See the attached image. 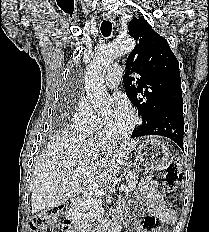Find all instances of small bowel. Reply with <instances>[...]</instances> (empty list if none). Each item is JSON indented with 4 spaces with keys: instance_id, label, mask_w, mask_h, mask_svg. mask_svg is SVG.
I'll return each instance as SVG.
<instances>
[{
    "instance_id": "obj_1",
    "label": "small bowel",
    "mask_w": 209,
    "mask_h": 232,
    "mask_svg": "<svg viewBox=\"0 0 209 232\" xmlns=\"http://www.w3.org/2000/svg\"><path fill=\"white\" fill-rule=\"evenodd\" d=\"M136 199L137 201L131 203L130 206L143 201L149 214L142 220L139 232H168L167 229L157 226L156 220L165 224H173L176 218L174 212L166 206L158 184L150 179L142 180L136 194ZM124 215V207L119 206L114 214L116 221L123 220Z\"/></svg>"
}]
</instances>
